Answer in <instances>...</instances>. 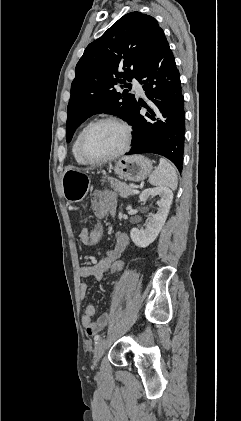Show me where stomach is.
I'll return each mask as SVG.
<instances>
[{
    "mask_svg": "<svg viewBox=\"0 0 241 421\" xmlns=\"http://www.w3.org/2000/svg\"><path fill=\"white\" fill-rule=\"evenodd\" d=\"M152 162L142 155L125 156L116 161L114 171L121 178L129 181H142L152 171ZM90 177L81 169L68 168L62 175V191L69 202H80L90 188Z\"/></svg>",
    "mask_w": 241,
    "mask_h": 421,
    "instance_id": "1",
    "label": "stomach"
}]
</instances>
